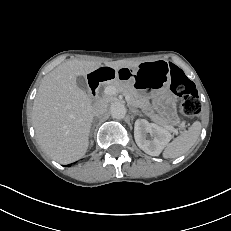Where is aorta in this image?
Listing matches in <instances>:
<instances>
[{"label": "aorta", "instance_id": "aorta-1", "mask_svg": "<svg viewBox=\"0 0 231 231\" xmlns=\"http://www.w3.org/2000/svg\"><path fill=\"white\" fill-rule=\"evenodd\" d=\"M111 115L115 119H122L126 115L125 105L121 102H115L110 107Z\"/></svg>", "mask_w": 231, "mask_h": 231}]
</instances>
